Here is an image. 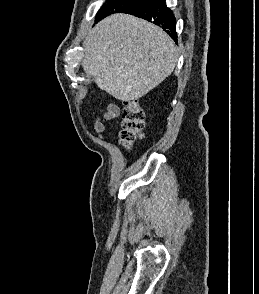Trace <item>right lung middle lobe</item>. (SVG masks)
<instances>
[{"label": "right lung middle lobe", "mask_w": 259, "mask_h": 294, "mask_svg": "<svg viewBox=\"0 0 259 294\" xmlns=\"http://www.w3.org/2000/svg\"><path fill=\"white\" fill-rule=\"evenodd\" d=\"M140 0H107L106 3L99 9L96 16V23L113 13L123 12L124 10L130 8Z\"/></svg>", "instance_id": "dd1d6c3e"}]
</instances>
